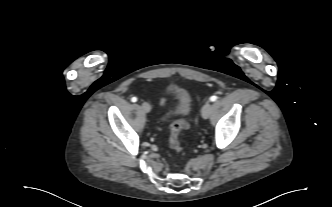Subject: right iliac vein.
I'll use <instances>...</instances> for the list:
<instances>
[{"mask_svg":"<svg viewBox=\"0 0 332 207\" xmlns=\"http://www.w3.org/2000/svg\"><path fill=\"white\" fill-rule=\"evenodd\" d=\"M142 109H143L144 112L148 113V112H150L151 107H150V105L147 102H144L142 104Z\"/></svg>","mask_w":332,"mask_h":207,"instance_id":"obj_1","label":"right iliac vein"}]
</instances>
